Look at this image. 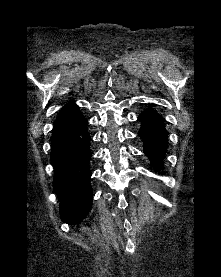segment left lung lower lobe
I'll list each match as a JSON object with an SVG mask.
<instances>
[{"label":"left lung lower lobe","mask_w":221,"mask_h":277,"mask_svg":"<svg viewBox=\"0 0 221 277\" xmlns=\"http://www.w3.org/2000/svg\"><path fill=\"white\" fill-rule=\"evenodd\" d=\"M138 120L142 123L139 136L144 142V153L155 168L161 169L168 145L163 120L152 108L141 113Z\"/></svg>","instance_id":"left-lung-lower-lobe-1"}]
</instances>
